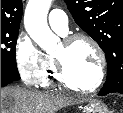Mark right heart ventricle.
Wrapping results in <instances>:
<instances>
[{
  "mask_svg": "<svg viewBox=\"0 0 123 113\" xmlns=\"http://www.w3.org/2000/svg\"><path fill=\"white\" fill-rule=\"evenodd\" d=\"M59 82L54 68L53 59L50 55L45 56V68L41 77V85L43 87H48L54 83Z\"/></svg>",
  "mask_w": 123,
  "mask_h": 113,
  "instance_id": "1",
  "label": "right heart ventricle"
}]
</instances>
